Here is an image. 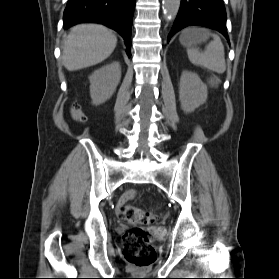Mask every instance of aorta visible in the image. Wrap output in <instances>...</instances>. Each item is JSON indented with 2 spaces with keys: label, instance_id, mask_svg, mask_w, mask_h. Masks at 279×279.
Segmentation results:
<instances>
[{
  "label": "aorta",
  "instance_id": "aorta-1",
  "mask_svg": "<svg viewBox=\"0 0 279 279\" xmlns=\"http://www.w3.org/2000/svg\"><path fill=\"white\" fill-rule=\"evenodd\" d=\"M181 0H163V11L167 21L173 20L179 10Z\"/></svg>",
  "mask_w": 279,
  "mask_h": 279
}]
</instances>
